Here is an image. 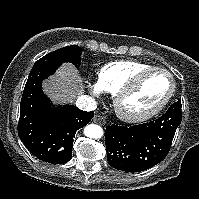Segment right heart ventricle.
Wrapping results in <instances>:
<instances>
[{
    "label": "right heart ventricle",
    "instance_id": "e07e8e85",
    "mask_svg": "<svg viewBox=\"0 0 199 199\" xmlns=\"http://www.w3.org/2000/svg\"><path fill=\"white\" fill-rule=\"evenodd\" d=\"M149 67L152 66L133 60L110 62L98 71V83L104 91L115 94L135 73Z\"/></svg>",
    "mask_w": 199,
    "mask_h": 199
}]
</instances>
